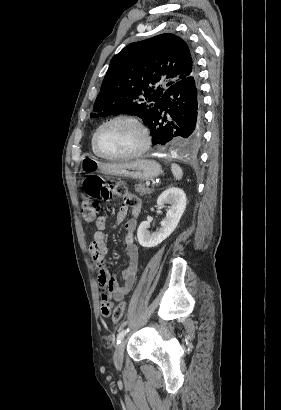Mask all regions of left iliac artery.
Listing matches in <instances>:
<instances>
[{"label":"left iliac artery","instance_id":"obj_1","mask_svg":"<svg viewBox=\"0 0 281 410\" xmlns=\"http://www.w3.org/2000/svg\"><path fill=\"white\" fill-rule=\"evenodd\" d=\"M128 331L129 330L127 329V330H122L119 332V334L117 335V344L121 342V340L124 338V336L126 335Z\"/></svg>","mask_w":281,"mask_h":410}]
</instances>
